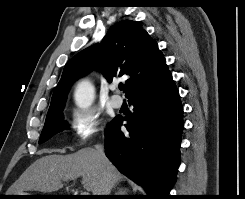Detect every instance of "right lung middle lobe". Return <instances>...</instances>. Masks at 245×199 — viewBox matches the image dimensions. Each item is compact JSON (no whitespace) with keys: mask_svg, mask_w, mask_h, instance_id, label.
Masks as SVG:
<instances>
[{"mask_svg":"<svg viewBox=\"0 0 245 199\" xmlns=\"http://www.w3.org/2000/svg\"><path fill=\"white\" fill-rule=\"evenodd\" d=\"M63 109L64 108H61L56 113L46 117L39 143L47 141L53 135L68 127L66 122L63 120Z\"/></svg>","mask_w":245,"mask_h":199,"instance_id":"right-lung-middle-lobe-1","label":"right lung middle lobe"}]
</instances>
